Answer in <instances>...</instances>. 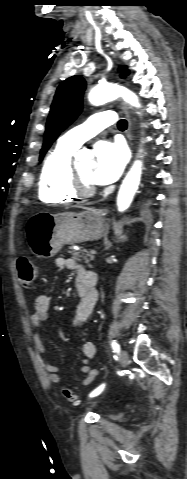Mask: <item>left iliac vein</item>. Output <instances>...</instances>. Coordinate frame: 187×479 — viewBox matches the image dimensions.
Returning <instances> with one entry per match:
<instances>
[{
  "instance_id": "4c4485c4",
  "label": "left iliac vein",
  "mask_w": 187,
  "mask_h": 479,
  "mask_svg": "<svg viewBox=\"0 0 187 479\" xmlns=\"http://www.w3.org/2000/svg\"><path fill=\"white\" fill-rule=\"evenodd\" d=\"M119 360L122 365V367H126L129 362V355L125 350H122L119 354Z\"/></svg>"
}]
</instances>
